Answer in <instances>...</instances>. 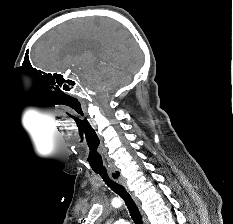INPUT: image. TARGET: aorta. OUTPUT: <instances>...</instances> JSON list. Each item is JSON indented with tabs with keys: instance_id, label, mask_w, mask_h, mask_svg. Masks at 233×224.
Masks as SVG:
<instances>
[{
	"instance_id": "1",
	"label": "aorta",
	"mask_w": 233,
	"mask_h": 224,
	"mask_svg": "<svg viewBox=\"0 0 233 224\" xmlns=\"http://www.w3.org/2000/svg\"><path fill=\"white\" fill-rule=\"evenodd\" d=\"M114 224H129V223L121 219V220L115 222Z\"/></svg>"
}]
</instances>
